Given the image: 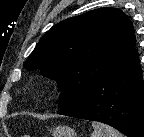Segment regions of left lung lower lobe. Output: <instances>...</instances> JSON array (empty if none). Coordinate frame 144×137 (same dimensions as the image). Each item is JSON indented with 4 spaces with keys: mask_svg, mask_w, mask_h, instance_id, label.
<instances>
[{
    "mask_svg": "<svg viewBox=\"0 0 144 137\" xmlns=\"http://www.w3.org/2000/svg\"><path fill=\"white\" fill-rule=\"evenodd\" d=\"M137 51L58 114L108 124L128 137H144V83Z\"/></svg>",
    "mask_w": 144,
    "mask_h": 137,
    "instance_id": "1",
    "label": "left lung lower lobe"
}]
</instances>
